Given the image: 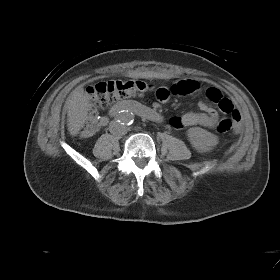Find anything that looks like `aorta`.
<instances>
[{
  "label": "aorta",
  "instance_id": "1",
  "mask_svg": "<svg viewBox=\"0 0 280 280\" xmlns=\"http://www.w3.org/2000/svg\"><path fill=\"white\" fill-rule=\"evenodd\" d=\"M133 119V114L129 111H121L118 115V121L120 124H123V125H127L129 124Z\"/></svg>",
  "mask_w": 280,
  "mask_h": 280
}]
</instances>
